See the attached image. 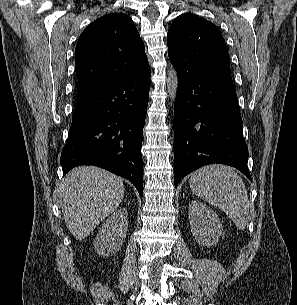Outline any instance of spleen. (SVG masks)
<instances>
[{
    "label": "spleen",
    "instance_id": "3e777b00",
    "mask_svg": "<svg viewBox=\"0 0 297 305\" xmlns=\"http://www.w3.org/2000/svg\"><path fill=\"white\" fill-rule=\"evenodd\" d=\"M189 185L195 195L223 210L239 229H245L249 198L243 180L232 168L205 166L191 175Z\"/></svg>",
    "mask_w": 297,
    "mask_h": 305
}]
</instances>
